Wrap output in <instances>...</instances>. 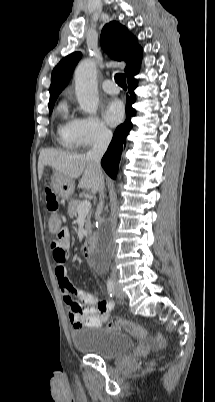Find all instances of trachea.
Here are the masks:
<instances>
[{"instance_id": "obj_1", "label": "trachea", "mask_w": 215, "mask_h": 402, "mask_svg": "<svg viewBox=\"0 0 215 402\" xmlns=\"http://www.w3.org/2000/svg\"><path fill=\"white\" fill-rule=\"evenodd\" d=\"M115 81L116 83L121 86L122 88L126 89L127 85H126V76L125 74L122 73H117L115 75Z\"/></svg>"}]
</instances>
